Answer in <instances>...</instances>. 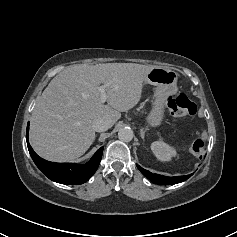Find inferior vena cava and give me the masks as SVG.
Segmentation results:
<instances>
[{
    "instance_id": "1",
    "label": "inferior vena cava",
    "mask_w": 237,
    "mask_h": 237,
    "mask_svg": "<svg viewBox=\"0 0 237 237\" xmlns=\"http://www.w3.org/2000/svg\"><path fill=\"white\" fill-rule=\"evenodd\" d=\"M110 128V123L106 119L98 118L95 119L93 122V129L96 132H103Z\"/></svg>"
}]
</instances>
